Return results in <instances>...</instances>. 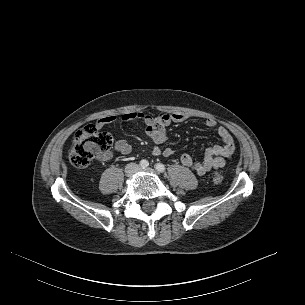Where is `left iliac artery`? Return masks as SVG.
I'll list each match as a JSON object with an SVG mask.
<instances>
[{"instance_id": "obj_1", "label": "left iliac artery", "mask_w": 305, "mask_h": 305, "mask_svg": "<svg viewBox=\"0 0 305 305\" xmlns=\"http://www.w3.org/2000/svg\"><path fill=\"white\" fill-rule=\"evenodd\" d=\"M156 170H158L159 172H163L165 171V166L162 163H157L155 165Z\"/></svg>"}]
</instances>
